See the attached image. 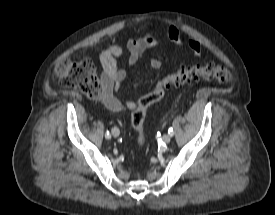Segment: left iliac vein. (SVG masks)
Masks as SVG:
<instances>
[{
    "label": "left iliac vein",
    "mask_w": 275,
    "mask_h": 215,
    "mask_svg": "<svg viewBox=\"0 0 275 215\" xmlns=\"http://www.w3.org/2000/svg\"><path fill=\"white\" fill-rule=\"evenodd\" d=\"M162 141H163L164 143H169V142L171 141V136H170L169 134L163 135Z\"/></svg>",
    "instance_id": "obj_1"
}]
</instances>
